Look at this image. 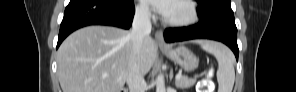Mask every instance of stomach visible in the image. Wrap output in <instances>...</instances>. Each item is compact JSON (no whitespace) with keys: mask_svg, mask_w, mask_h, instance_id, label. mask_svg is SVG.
Wrapping results in <instances>:
<instances>
[{"mask_svg":"<svg viewBox=\"0 0 296 92\" xmlns=\"http://www.w3.org/2000/svg\"><path fill=\"white\" fill-rule=\"evenodd\" d=\"M162 50L170 60L179 65L186 72L194 71L198 67L199 62L197 57L184 46Z\"/></svg>","mask_w":296,"mask_h":92,"instance_id":"stomach-1","label":"stomach"}]
</instances>
